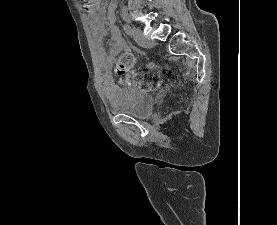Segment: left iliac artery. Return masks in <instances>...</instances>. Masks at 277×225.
Masks as SVG:
<instances>
[{
    "label": "left iliac artery",
    "mask_w": 277,
    "mask_h": 225,
    "mask_svg": "<svg viewBox=\"0 0 277 225\" xmlns=\"http://www.w3.org/2000/svg\"><path fill=\"white\" fill-rule=\"evenodd\" d=\"M123 28H124V31L126 32V34L132 35V28L129 24H124Z\"/></svg>",
    "instance_id": "1"
}]
</instances>
